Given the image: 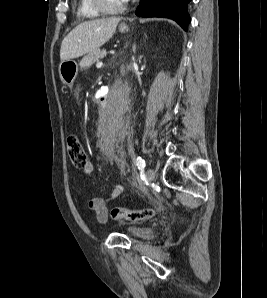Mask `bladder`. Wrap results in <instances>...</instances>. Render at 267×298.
Segmentation results:
<instances>
[{
	"mask_svg": "<svg viewBox=\"0 0 267 298\" xmlns=\"http://www.w3.org/2000/svg\"><path fill=\"white\" fill-rule=\"evenodd\" d=\"M128 232L132 237L140 240H151L155 237V231L151 227H131Z\"/></svg>",
	"mask_w": 267,
	"mask_h": 298,
	"instance_id": "bladder-1",
	"label": "bladder"
}]
</instances>
